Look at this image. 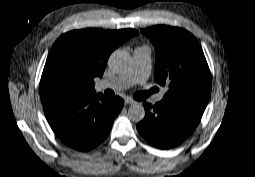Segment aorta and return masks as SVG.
I'll list each match as a JSON object with an SVG mask.
<instances>
[{
    "label": "aorta",
    "mask_w": 255,
    "mask_h": 177,
    "mask_svg": "<svg viewBox=\"0 0 255 177\" xmlns=\"http://www.w3.org/2000/svg\"><path fill=\"white\" fill-rule=\"evenodd\" d=\"M132 61L131 55L125 51L117 49L109 57L108 64L116 72L126 69ZM145 117V109L139 103H134L128 109V118L133 122H140Z\"/></svg>",
    "instance_id": "762f6f07"
}]
</instances>
